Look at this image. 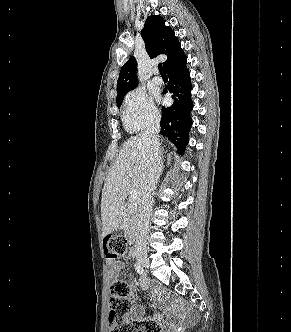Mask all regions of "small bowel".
<instances>
[{
  "label": "small bowel",
  "instance_id": "small-bowel-1",
  "mask_svg": "<svg viewBox=\"0 0 291 332\" xmlns=\"http://www.w3.org/2000/svg\"><path fill=\"white\" fill-rule=\"evenodd\" d=\"M109 264H110V272H109L110 278L115 280V279H117L119 273L124 268L123 263L121 261L112 259V260H110ZM141 284L143 287H146L145 280H142ZM151 295H152V298L154 301L161 303V301H162L161 291L159 289H155ZM172 309H173V312H174V315L176 316V318L179 321H182L184 319V313H183L182 309L179 306H177L176 304L172 305ZM141 314H142L141 308L135 307L130 316V320H139ZM160 319H161V316L159 314H155L153 316V320H155V321H159Z\"/></svg>",
  "mask_w": 291,
  "mask_h": 332
}]
</instances>
